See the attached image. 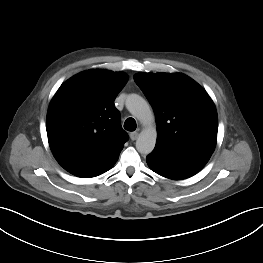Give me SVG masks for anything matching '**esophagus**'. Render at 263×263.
Instances as JSON below:
<instances>
[{
    "mask_svg": "<svg viewBox=\"0 0 263 263\" xmlns=\"http://www.w3.org/2000/svg\"><path fill=\"white\" fill-rule=\"evenodd\" d=\"M138 136H139L138 132H132V133H130V139H131L132 141L136 140V139L138 138Z\"/></svg>",
    "mask_w": 263,
    "mask_h": 263,
    "instance_id": "34e87169",
    "label": "esophagus"
}]
</instances>
